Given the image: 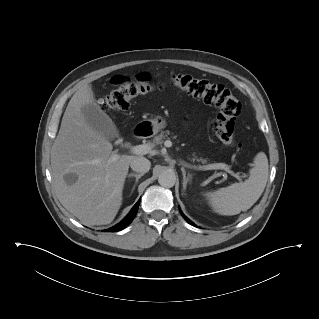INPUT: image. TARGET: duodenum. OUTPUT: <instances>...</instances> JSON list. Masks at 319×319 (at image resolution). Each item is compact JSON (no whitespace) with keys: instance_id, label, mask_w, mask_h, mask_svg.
Here are the masks:
<instances>
[{"instance_id":"obj_1","label":"duodenum","mask_w":319,"mask_h":319,"mask_svg":"<svg viewBox=\"0 0 319 319\" xmlns=\"http://www.w3.org/2000/svg\"><path fill=\"white\" fill-rule=\"evenodd\" d=\"M148 132V127L144 125L137 127L134 134L136 137H140L146 135Z\"/></svg>"}]
</instances>
